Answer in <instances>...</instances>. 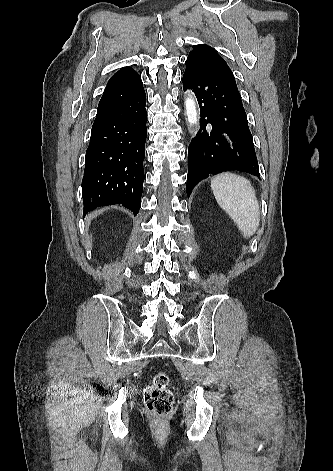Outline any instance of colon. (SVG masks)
Listing matches in <instances>:
<instances>
[{
	"label": "colon",
	"instance_id": "obj_1",
	"mask_svg": "<svg viewBox=\"0 0 333 471\" xmlns=\"http://www.w3.org/2000/svg\"><path fill=\"white\" fill-rule=\"evenodd\" d=\"M168 385L167 373L160 371L144 390V404L160 428L165 424L174 403V397Z\"/></svg>",
	"mask_w": 333,
	"mask_h": 471
}]
</instances>
